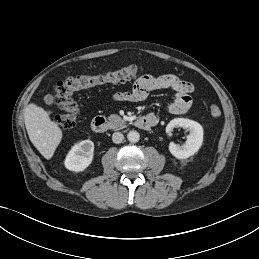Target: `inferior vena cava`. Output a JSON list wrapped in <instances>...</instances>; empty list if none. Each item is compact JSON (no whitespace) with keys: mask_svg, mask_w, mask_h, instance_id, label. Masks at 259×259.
I'll use <instances>...</instances> for the list:
<instances>
[{"mask_svg":"<svg viewBox=\"0 0 259 259\" xmlns=\"http://www.w3.org/2000/svg\"><path fill=\"white\" fill-rule=\"evenodd\" d=\"M123 139H124V136L121 132H115L112 135V141L116 144L121 143L123 141Z\"/></svg>","mask_w":259,"mask_h":259,"instance_id":"inferior-vena-cava-1","label":"inferior vena cava"}]
</instances>
